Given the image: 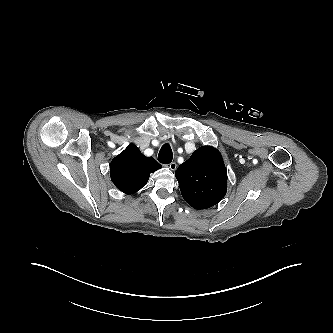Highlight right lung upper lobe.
Returning <instances> with one entry per match:
<instances>
[{
  "label": "right lung upper lobe",
  "instance_id": "right-lung-upper-lobe-1",
  "mask_svg": "<svg viewBox=\"0 0 333 333\" xmlns=\"http://www.w3.org/2000/svg\"><path fill=\"white\" fill-rule=\"evenodd\" d=\"M160 168L154 158L144 156L136 145L130 144L111 161L110 175L120 191L132 194L146 185L150 173Z\"/></svg>",
  "mask_w": 333,
  "mask_h": 333
}]
</instances>
